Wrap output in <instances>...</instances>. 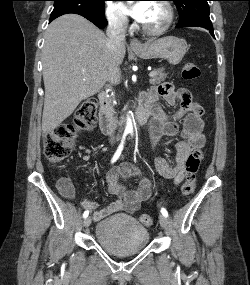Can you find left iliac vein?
I'll list each match as a JSON object with an SVG mask.
<instances>
[{"label": "left iliac vein", "instance_id": "4c4485c4", "mask_svg": "<svg viewBox=\"0 0 250 285\" xmlns=\"http://www.w3.org/2000/svg\"><path fill=\"white\" fill-rule=\"evenodd\" d=\"M159 222L163 229H166L168 227V219L164 215L159 216Z\"/></svg>", "mask_w": 250, "mask_h": 285}]
</instances>
